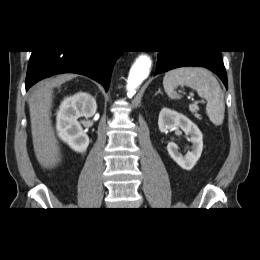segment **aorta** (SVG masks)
<instances>
[{
	"instance_id": "aorta-1",
	"label": "aorta",
	"mask_w": 260,
	"mask_h": 260,
	"mask_svg": "<svg viewBox=\"0 0 260 260\" xmlns=\"http://www.w3.org/2000/svg\"><path fill=\"white\" fill-rule=\"evenodd\" d=\"M152 61L150 57L146 54L140 55L134 64L132 65L126 89L128 91V96L132 97L136 89L141 85V83L148 77Z\"/></svg>"
}]
</instances>
